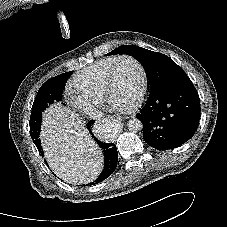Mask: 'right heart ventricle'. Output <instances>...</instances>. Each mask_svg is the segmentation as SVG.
I'll use <instances>...</instances> for the list:
<instances>
[{"label":"right heart ventricle","mask_w":227,"mask_h":227,"mask_svg":"<svg viewBox=\"0 0 227 227\" xmlns=\"http://www.w3.org/2000/svg\"><path fill=\"white\" fill-rule=\"evenodd\" d=\"M116 58L117 56L102 58L75 75L72 80L75 91L100 102L103 99L106 75Z\"/></svg>","instance_id":"e07e8e85"}]
</instances>
